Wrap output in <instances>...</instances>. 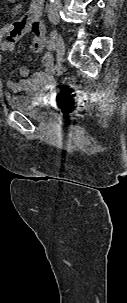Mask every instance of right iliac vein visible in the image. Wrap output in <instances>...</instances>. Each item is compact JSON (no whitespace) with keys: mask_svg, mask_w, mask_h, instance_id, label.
Instances as JSON below:
<instances>
[{"mask_svg":"<svg viewBox=\"0 0 127 303\" xmlns=\"http://www.w3.org/2000/svg\"><path fill=\"white\" fill-rule=\"evenodd\" d=\"M54 24H56V22H54ZM55 50H56L57 60L60 61L64 56L65 46L61 35L58 33L56 37Z\"/></svg>","mask_w":127,"mask_h":303,"instance_id":"right-iliac-vein-1","label":"right iliac vein"}]
</instances>
